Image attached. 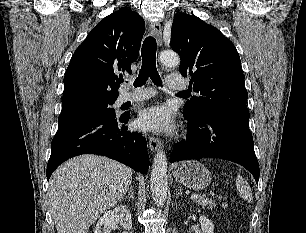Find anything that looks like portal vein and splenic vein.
Returning a JSON list of instances; mask_svg holds the SVG:
<instances>
[{
	"mask_svg": "<svg viewBox=\"0 0 306 233\" xmlns=\"http://www.w3.org/2000/svg\"><path fill=\"white\" fill-rule=\"evenodd\" d=\"M199 197V195H197V194H194V195H191V200H196L197 198Z\"/></svg>",
	"mask_w": 306,
	"mask_h": 233,
	"instance_id": "portal-vein-and-splenic-vein-1",
	"label": "portal vein and splenic vein"
}]
</instances>
